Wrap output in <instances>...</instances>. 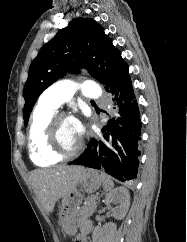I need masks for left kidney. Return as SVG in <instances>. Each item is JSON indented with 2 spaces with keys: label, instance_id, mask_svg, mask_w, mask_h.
I'll return each instance as SVG.
<instances>
[{
  "label": "left kidney",
  "instance_id": "5707ae66",
  "mask_svg": "<svg viewBox=\"0 0 187 242\" xmlns=\"http://www.w3.org/2000/svg\"><path fill=\"white\" fill-rule=\"evenodd\" d=\"M104 203L112 211L113 216L120 220L124 218L130 206L129 191L125 187H117L105 197ZM112 203L117 207L112 208ZM116 229L114 223H108L103 227H95L92 235L93 242H110Z\"/></svg>",
  "mask_w": 187,
  "mask_h": 242
}]
</instances>
